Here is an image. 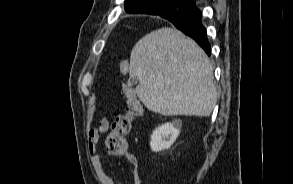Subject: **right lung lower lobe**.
<instances>
[{
  "instance_id": "obj_1",
  "label": "right lung lower lobe",
  "mask_w": 293,
  "mask_h": 184,
  "mask_svg": "<svg viewBox=\"0 0 293 184\" xmlns=\"http://www.w3.org/2000/svg\"><path fill=\"white\" fill-rule=\"evenodd\" d=\"M165 19L172 22L183 33L193 38L210 56L211 47L207 40L206 29L201 22V12L195 5L179 9Z\"/></svg>"
}]
</instances>
